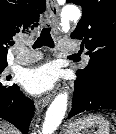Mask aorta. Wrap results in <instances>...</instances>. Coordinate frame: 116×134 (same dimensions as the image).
<instances>
[{
  "instance_id": "762f6f07",
  "label": "aorta",
  "mask_w": 116,
  "mask_h": 134,
  "mask_svg": "<svg viewBox=\"0 0 116 134\" xmlns=\"http://www.w3.org/2000/svg\"><path fill=\"white\" fill-rule=\"evenodd\" d=\"M80 10L74 5L63 8L62 17L65 23L77 21L80 18ZM67 93L59 94L49 106L42 126V134H53L62 122L67 110Z\"/></svg>"
}]
</instances>
